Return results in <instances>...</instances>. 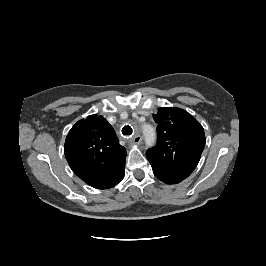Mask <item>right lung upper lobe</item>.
Returning a JSON list of instances; mask_svg holds the SVG:
<instances>
[{
  "instance_id": "right-lung-upper-lobe-1",
  "label": "right lung upper lobe",
  "mask_w": 266,
  "mask_h": 266,
  "mask_svg": "<svg viewBox=\"0 0 266 266\" xmlns=\"http://www.w3.org/2000/svg\"><path fill=\"white\" fill-rule=\"evenodd\" d=\"M64 154L73 172L94 188H111L124 178L126 149L102 116L78 121L66 137Z\"/></svg>"
}]
</instances>
